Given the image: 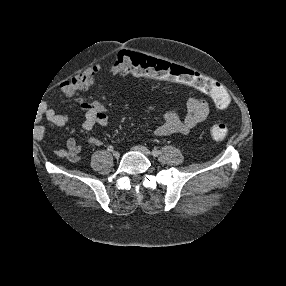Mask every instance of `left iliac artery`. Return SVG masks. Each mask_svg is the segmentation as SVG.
I'll list each match as a JSON object with an SVG mask.
<instances>
[{"label": "left iliac artery", "mask_w": 286, "mask_h": 286, "mask_svg": "<svg viewBox=\"0 0 286 286\" xmlns=\"http://www.w3.org/2000/svg\"><path fill=\"white\" fill-rule=\"evenodd\" d=\"M160 154V152H159V150H157V149H154V150H152V155L153 156H158Z\"/></svg>", "instance_id": "44dca946"}]
</instances>
